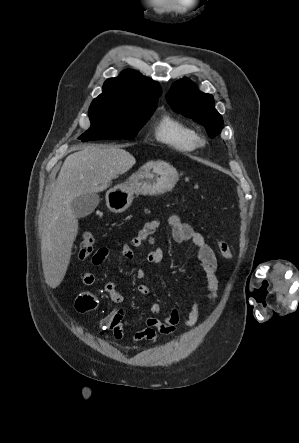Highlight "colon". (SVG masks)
Wrapping results in <instances>:
<instances>
[{
    "instance_id": "5ec220e1",
    "label": "colon",
    "mask_w": 299,
    "mask_h": 443,
    "mask_svg": "<svg viewBox=\"0 0 299 443\" xmlns=\"http://www.w3.org/2000/svg\"><path fill=\"white\" fill-rule=\"evenodd\" d=\"M93 246H94V237L90 232H86L83 235L82 241L79 246V252H78L79 258L81 260L87 259L93 251ZM217 247L220 254L224 258L231 259L233 257L230 247L225 242L220 240L217 241Z\"/></svg>"
}]
</instances>
